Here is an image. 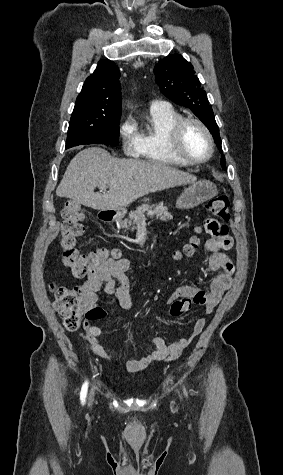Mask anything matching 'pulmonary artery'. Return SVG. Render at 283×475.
Wrapping results in <instances>:
<instances>
[{
	"label": "pulmonary artery",
	"mask_w": 283,
	"mask_h": 475,
	"mask_svg": "<svg viewBox=\"0 0 283 475\" xmlns=\"http://www.w3.org/2000/svg\"><path fill=\"white\" fill-rule=\"evenodd\" d=\"M167 102L164 101H159V100H154L151 102L150 107H157V106H162V105H167Z\"/></svg>",
	"instance_id": "pulmonary-artery-1"
}]
</instances>
